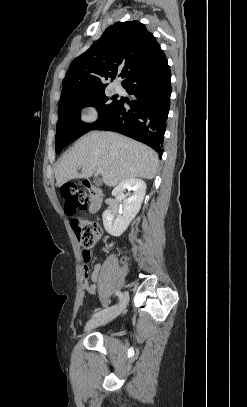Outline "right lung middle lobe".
<instances>
[{"label": "right lung middle lobe", "mask_w": 247, "mask_h": 407, "mask_svg": "<svg viewBox=\"0 0 247 407\" xmlns=\"http://www.w3.org/2000/svg\"><path fill=\"white\" fill-rule=\"evenodd\" d=\"M111 99L113 101H110L103 90L91 96L59 105L55 138L56 153L61 152L70 142L93 130L98 123L103 121L120 101L115 96ZM85 106L97 108L99 118L95 123L87 125L80 120V111Z\"/></svg>", "instance_id": "1"}]
</instances>
